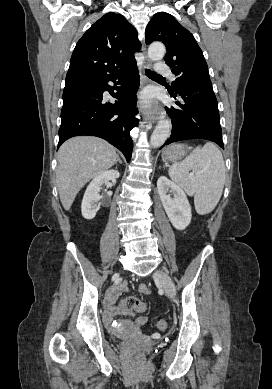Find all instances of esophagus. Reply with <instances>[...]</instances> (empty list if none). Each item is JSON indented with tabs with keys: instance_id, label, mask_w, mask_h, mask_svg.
I'll list each match as a JSON object with an SVG mask.
<instances>
[{
	"instance_id": "34e87169",
	"label": "esophagus",
	"mask_w": 272,
	"mask_h": 389,
	"mask_svg": "<svg viewBox=\"0 0 272 389\" xmlns=\"http://www.w3.org/2000/svg\"><path fill=\"white\" fill-rule=\"evenodd\" d=\"M143 52L145 54V58H144V61H143V70H144L146 68H150L151 62L148 59V57L146 56V48H145V46H143ZM145 82H147L146 78H145ZM161 114H162V109H161V106H160V104L158 102H155L154 108H152V109H145L143 111L144 119L146 121L152 122V123L157 122L158 119L160 118Z\"/></svg>"
}]
</instances>
